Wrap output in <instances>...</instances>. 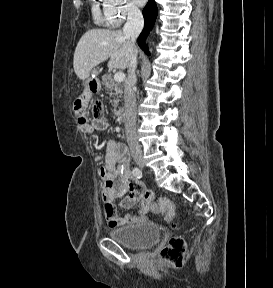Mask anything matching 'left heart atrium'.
I'll return each instance as SVG.
<instances>
[{
    "label": "left heart atrium",
    "instance_id": "left-heart-atrium-1",
    "mask_svg": "<svg viewBox=\"0 0 273 288\" xmlns=\"http://www.w3.org/2000/svg\"><path fill=\"white\" fill-rule=\"evenodd\" d=\"M147 0H135V2L138 4V5H143L145 4Z\"/></svg>",
    "mask_w": 273,
    "mask_h": 288
}]
</instances>
